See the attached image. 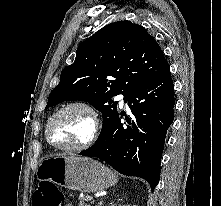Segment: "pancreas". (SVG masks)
<instances>
[{"label":"pancreas","mask_w":221,"mask_h":206,"mask_svg":"<svg viewBox=\"0 0 221 206\" xmlns=\"http://www.w3.org/2000/svg\"><path fill=\"white\" fill-rule=\"evenodd\" d=\"M79 206H90L86 198H79Z\"/></svg>","instance_id":"cf45deb5"}]
</instances>
